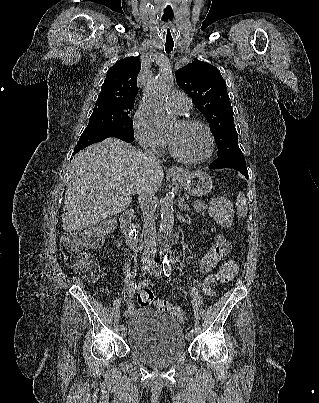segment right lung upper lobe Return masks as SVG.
I'll list each match as a JSON object with an SVG mask.
<instances>
[{"label": "right lung upper lobe", "mask_w": 319, "mask_h": 403, "mask_svg": "<svg viewBox=\"0 0 319 403\" xmlns=\"http://www.w3.org/2000/svg\"><path fill=\"white\" fill-rule=\"evenodd\" d=\"M140 69L141 62L137 57L117 61L108 70L96 102L134 104Z\"/></svg>", "instance_id": "1"}]
</instances>
